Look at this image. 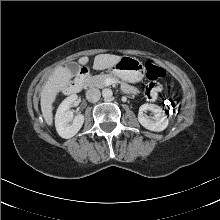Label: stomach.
Listing matches in <instances>:
<instances>
[{
  "label": "stomach",
  "mask_w": 220,
  "mask_h": 220,
  "mask_svg": "<svg viewBox=\"0 0 220 220\" xmlns=\"http://www.w3.org/2000/svg\"><path fill=\"white\" fill-rule=\"evenodd\" d=\"M111 73L130 83H137L144 77L145 67L143 63L130 56H123L111 68Z\"/></svg>",
  "instance_id": "1"
}]
</instances>
